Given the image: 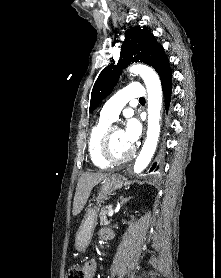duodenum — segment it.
Segmentation results:
<instances>
[{
	"label": "duodenum",
	"instance_id": "1",
	"mask_svg": "<svg viewBox=\"0 0 221 278\" xmlns=\"http://www.w3.org/2000/svg\"><path fill=\"white\" fill-rule=\"evenodd\" d=\"M112 236H113L112 231H111V230H109V229H107V230H106V234H105L104 238H105L106 240H109V239H111V238H112Z\"/></svg>",
	"mask_w": 221,
	"mask_h": 278
}]
</instances>
